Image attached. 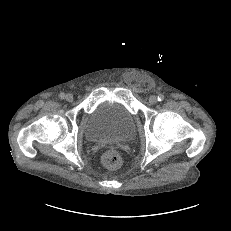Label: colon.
<instances>
[{
  "instance_id": "obj_1",
  "label": "colon",
  "mask_w": 231,
  "mask_h": 231,
  "mask_svg": "<svg viewBox=\"0 0 231 231\" xmlns=\"http://www.w3.org/2000/svg\"><path fill=\"white\" fill-rule=\"evenodd\" d=\"M102 162L108 168H117L121 165L122 159L115 150H107L102 155Z\"/></svg>"
}]
</instances>
